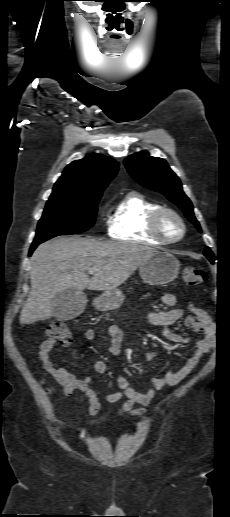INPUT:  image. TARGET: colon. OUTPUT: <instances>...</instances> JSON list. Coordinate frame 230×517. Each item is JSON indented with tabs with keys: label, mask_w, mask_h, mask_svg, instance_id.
Instances as JSON below:
<instances>
[{
	"label": "colon",
	"mask_w": 230,
	"mask_h": 517,
	"mask_svg": "<svg viewBox=\"0 0 230 517\" xmlns=\"http://www.w3.org/2000/svg\"><path fill=\"white\" fill-rule=\"evenodd\" d=\"M184 282L189 286H195L203 283L206 279L205 271L200 267L188 266L182 272ZM46 333L51 338L61 342H69L71 333L67 325L61 321L50 323L46 328Z\"/></svg>",
	"instance_id": "colon-1"
}]
</instances>
